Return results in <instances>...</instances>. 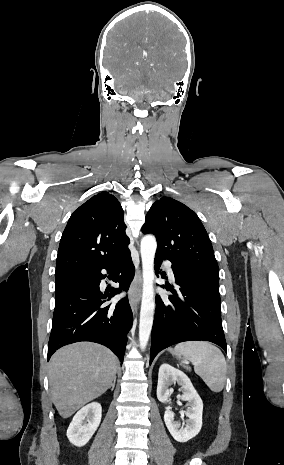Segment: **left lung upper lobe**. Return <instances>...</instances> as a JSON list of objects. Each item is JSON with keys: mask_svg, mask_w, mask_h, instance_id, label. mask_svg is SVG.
Masks as SVG:
<instances>
[{"mask_svg": "<svg viewBox=\"0 0 284 465\" xmlns=\"http://www.w3.org/2000/svg\"><path fill=\"white\" fill-rule=\"evenodd\" d=\"M144 234L156 236V254L172 264L219 280L211 241L198 216L183 203L162 197L146 215Z\"/></svg>", "mask_w": 284, "mask_h": 465, "instance_id": "5c2ea615", "label": "left lung upper lobe"}]
</instances>
